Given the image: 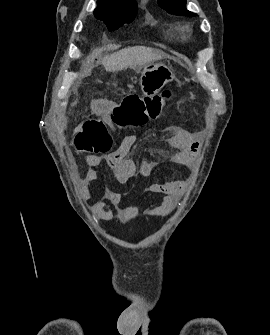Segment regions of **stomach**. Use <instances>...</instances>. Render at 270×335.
<instances>
[{
  "instance_id": "1",
  "label": "stomach",
  "mask_w": 270,
  "mask_h": 335,
  "mask_svg": "<svg viewBox=\"0 0 270 335\" xmlns=\"http://www.w3.org/2000/svg\"><path fill=\"white\" fill-rule=\"evenodd\" d=\"M175 76L164 64H146L142 68L139 86L145 98H152L167 82H172Z\"/></svg>"
}]
</instances>
